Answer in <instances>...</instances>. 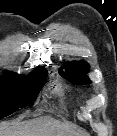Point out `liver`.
<instances>
[{
  "label": "liver",
  "instance_id": "1",
  "mask_svg": "<svg viewBox=\"0 0 117 136\" xmlns=\"http://www.w3.org/2000/svg\"><path fill=\"white\" fill-rule=\"evenodd\" d=\"M68 132V133H65ZM0 136H79L73 133L67 126L47 119H34L14 125L11 128L4 127Z\"/></svg>",
  "mask_w": 117,
  "mask_h": 136
}]
</instances>
